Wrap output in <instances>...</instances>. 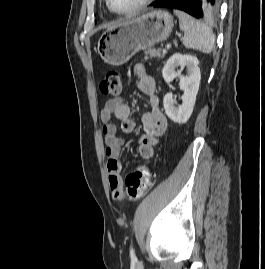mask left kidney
<instances>
[{
	"label": "left kidney",
	"mask_w": 265,
	"mask_h": 269,
	"mask_svg": "<svg viewBox=\"0 0 265 269\" xmlns=\"http://www.w3.org/2000/svg\"><path fill=\"white\" fill-rule=\"evenodd\" d=\"M198 64V59L192 55L175 53L163 67L162 75L165 82L169 84L178 76L180 78V88L184 91L182 104L178 107L174 105L172 93H167L163 99L165 113L175 123H186L193 112L201 80ZM177 66H180L182 69L186 67L188 74L183 76L180 71L176 72L175 68Z\"/></svg>",
	"instance_id": "obj_1"
}]
</instances>
